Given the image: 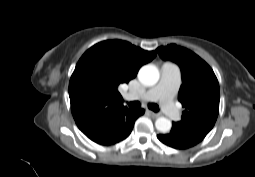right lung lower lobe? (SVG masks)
<instances>
[{
  "mask_svg": "<svg viewBox=\"0 0 255 177\" xmlns=\"http://www.w3.org/2000/svg\"><path fill=\"white\" fill-rule=\"evenodd\" d=\"M143 114V109L131 110L123 107L79 129L93 142L110 146L126 139L135 120Z\"/></svg>",
  "mask_w": 255,
  "mask_h": 177,
  "instance_id": "obj_1",
  "label": "right lung lower lobe"
}]
</instances>
